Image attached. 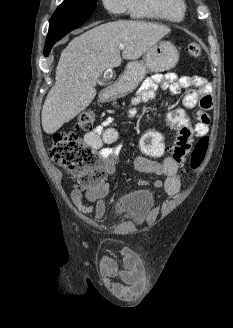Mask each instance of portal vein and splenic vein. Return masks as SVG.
I'll return each instance as SVG.
<instances>
[{"label":"portal vein and splenic vein","instance_id":"18ae733b","mask_svg":"<svg viewBox=\"0 0 233 328\" xmlns=\"http://www.w3.org/2000/svg\"><path fill=\"white\" fill-rule=\"evenodd\" d=\"M119 49L123 50L124 49V45L123 44H120L119 45Z\"/></svg>","mask_w":233,"mask_h":328}]
</instances>
